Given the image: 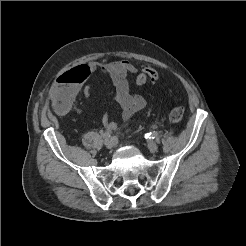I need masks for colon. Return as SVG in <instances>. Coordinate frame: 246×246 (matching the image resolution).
Returning <instances> with one entry per match:
<instances>
[{"label":"colon","mask_w":246,"mask_h":246,"mask_svg":"<svg viewBox=\"0 0 246 246\" xmlns=\"http://www.w3.org/2000/svg\"><path fill=\"white\" fill-rule=\"evenodd\" d=\"M158 79L159 74L155 69L145 64L140 65V72L136 78V83L138 85H144L148 81L156 82ZM184 113L183 107L176 106L170 112V120L174 123H178L183 119Z\"/></svg>","instance_id":"obj_1"}]
</instances>
